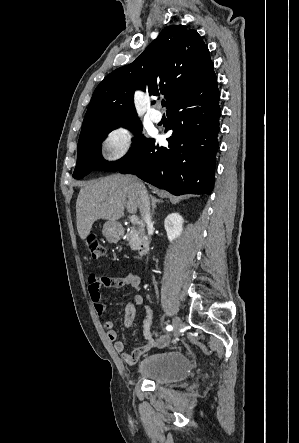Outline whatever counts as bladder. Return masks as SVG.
I'll use <instances>...</instances> for the list:
<instances>
[{"mask_svg":"<svg viewBox=\"0 0 299 443\" xmlns=\"http://www.w3.org/2000/svg\"><path fill=\"white\" fill-rule=\"evenodd\" d=\"M138 374L158 384H171L187 377L191 371V361L179 351L150 353L137 363Z\"/></svg>","mask_w":299,"mask_h":443,"instance_id":"1","label":"bladder"}]
</instances>
